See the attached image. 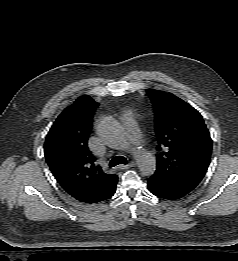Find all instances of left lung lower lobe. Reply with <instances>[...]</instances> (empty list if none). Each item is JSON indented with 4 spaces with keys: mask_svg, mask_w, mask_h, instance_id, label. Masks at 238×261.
Masks as SVG:
<instances>
[{
    "mask_svg": "<svg viewBox=\"0 0 238 261\" xmlns=\"http://www.w3.org/2000/svg\"><path fill=\"white\" fill-rule=\"evenodd\" d=\"M147 185L149 191L153 195L163 199L177 200L184 197L186 194H188L182 191L181 189H179L178 187L170 184L169 182H166L165 180L155 175H152L148 179Z\"/></svg>",
    "mask_w": 238,
    "mask_h": 261,
    "instance_id": "0a47b994",
    "label": "left lung lower lobe"
}]
</instances>
